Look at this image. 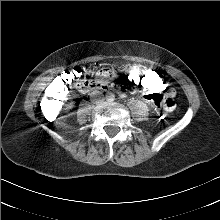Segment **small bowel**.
Instances as JSON below:
<instances>
[{
  "label": "small bowel",
  "mask_w": 220,
  "mask_h": 220,
  "mask_svg": "<svg viewBox=\"0 0 220 220\" xmlns=\"http://www.w3.org/2000/svg\"><path fill=\"white\" fill-rule=\"evenodd\" d=\"M93 70L96 76H89L85 80L86 85L89 87H95L97 89H105L109 85L108 80H113L117 76V71L115 68L103 67V65L100 63L95 64ZM170 92H172L173 94L175 93L174 90L169 86V89L163 93H170ZM153 93H158V92H152V93L145 92L144 95L145 99L148 100V96Z\"/></svg>",
  "instance_id": "obj_1"
}]
</instances>
